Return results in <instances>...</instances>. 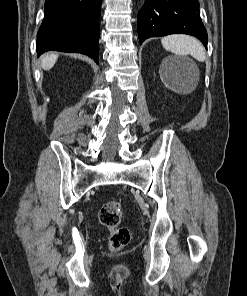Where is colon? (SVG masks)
I'll use <instances>...</instances> for the list:
<instances>
[{"mask_svg": "<svg viewBox=\"0 0 247 296\" xmlns=\"http://www.w3.org/2000/svg\"><path fill=\"white\" fill-rule=\"evenodd\" d=\"M101 224L109 231V248L119 251L128 245L131 238L130 230L120 226L121 203L109 201L104 203L99 210Z\"/></svg>", "mask_w": 247, "mask_h": 296, "instance_id": "1", "label": "colon"}]
</instances>
